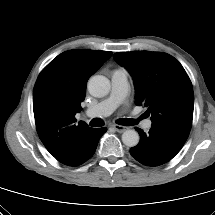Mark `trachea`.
I'll return each instance as SVG.
<instances>
[{"label":"trachea","mask_w":215,"mask_h":215,"mask_svg":"<svg viewBox=\"0 0 215 215\" xmlns=\"http://www.w3.org/2000/svg\"><path fill=\"white\" fill-rule=\"evenodd\" d=\"M117 123L123 126H132V125H135L137 122L133 119L124 118V119H119ZM103 125H104V122L98 118L92 119L90 121V126L92 127H101Z\"/></svg>","instance_id":"1"}]
</instances>
